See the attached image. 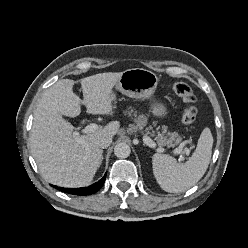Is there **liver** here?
Instances as JSON below:
<instances>
[{
    "mask_svg": "<svg viewBox=\"0 0 248 248\" xmlns=\"http://www.w3.org/2000/svg\"><path fill=\"white\" fill-rule=\"evenodd\" d=\"M121 74L99 73L80 80L82 103L89 113L113 115L112 89ZM74 84L71 79H62L45 90L35 109L30 135L31 152L42 177L61 187H83L93 180L103 156L97 139L112 138L120 127L113 121L95 132L74 136L73 125L62 117L81 113Z\"/></svg>",
    "mask_w": 248,
    "mask_h": 248,
    "instance_id": "6515ba94",
    "label": "liver"
}]
</instances>
